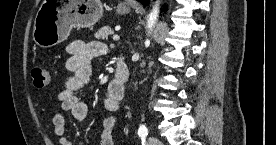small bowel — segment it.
<instances>
[{"label":"small bowel","instance_id":"c3829d8e","mask_svg":"<svg viewBox=\"0 0 276 145\" xmlns=\"http://www.w3.org/2000/svg\"><path fill=\"white\" fill-rule=\"evenodd\" d=\"M69 58L66 63L71 76L66 80L63 90L58 95V100L63 109L68 110L77 122H83L88 114V106L79 94L88 83L92 68L91 61L106 53V47L97 41H73L68 46ZM124 93L119 92L113 81L108 85L104 106L107 111L115 112L119 109ZM54 134L59 138L60 145H72L66 136L65 118L63 114L53 116ZM117 125L114 115L106 116L102 121V136L100 145H114L113 132Z\"/></svg>","mask_w":276,"mask_h":145}]
</instances>
